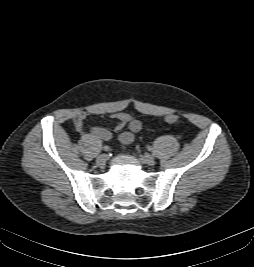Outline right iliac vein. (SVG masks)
Segmentation results:
<instances>
[{"label":"right iliac vein","instance_id":"1","mask_svg":"<svg viewBox=\"0 0 254 267\" xmlns=\"http://www.w3.org/2000/svg\"><path fill=\"white\" fill-rule=\"evenodd\" d=\"M107 161V155L106 154H101L97 157L96 163L98 165H104Z\"/></svg>","mask_w":254,"mask_h":267}]
</instances>
